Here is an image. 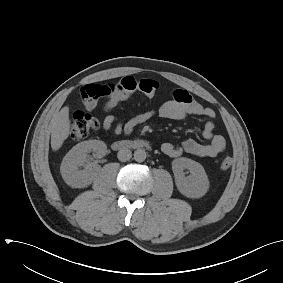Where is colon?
Instances as JSON below:
<instances>
[{
    "label": "colon",
    "mask_w": 283,
    "mask_h": 283,
    "mask_svg": "<svg viewBox=\"0 0 283 283\" xmlns=\"http://www.w3.org/2000/svg\"><path fill=\"white\" fill-rule=\"evenodd\" d=\"M159 83L152 78L137 79L133 76H126L111 86L109 99L113 102L127 97L134 92H141L148 96L154 95ZM99 123L96 118L88 113L77 111L74 113L70 124V135L73 139L79 140L87 137L93 130L97 129ZM232 166V158L224 157L220 161V168L227 170Z\"/></svg>",
    "instance_id": "obj_1"
}]
</instances>
